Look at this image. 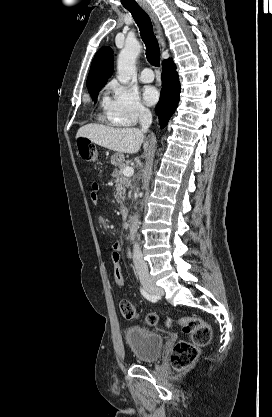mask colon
Masks as SVG:
<instances>
[{
  "label": "colon",
  "instance_id": "5ec220e1",
  "mask_svg": "<svg viewBox=\"0 0 272 417\" xmlns=\"http://www.w3.org/2000/svg\"><path fill=\"white\" fill-rule=\"evenodd\" d=\"M79 156L83 161L96 163L99 159V152L95 145H93L87 139H80L77 143ZM112 260L114 264V280L115 283L122 287L124 285V273L120 265V254L117 251L112 252ZM121 314L129 320L136 319L138 317L135 307L127 300L120 302ZM147 322L150 325L157 323V317L155 315H149ZM175 323L179 325L182 331L190 336L189 341H180L175 344L171 362L175 369L179 372L185 371L190 368L198 359L200 354V347L209 342L212 336L211 328L199 317L188 316L182 317L177 321H168L171 325Z\"/></svg>",
  "mask_w": 272,
  "mask_h": 417
}]
</instances>
